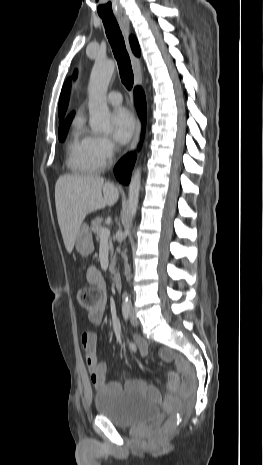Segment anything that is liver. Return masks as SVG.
<instances>
[{"label":"liver","mask_w":263,"mask_h":465,"mask_svg":"<svg viewBox=\"0 0 263 465\" xmlns=\"http://www.w3.org/2000/svg\"><path fill=\"white\" fill-rule=\"evenodd\" d=\"M119 191L113 183L95 175H63L55 185L57 219L64 245L71 253L85 217L105 206H113Z\"/></svg>","instance_id":"6515ba94"}]
</instances>
